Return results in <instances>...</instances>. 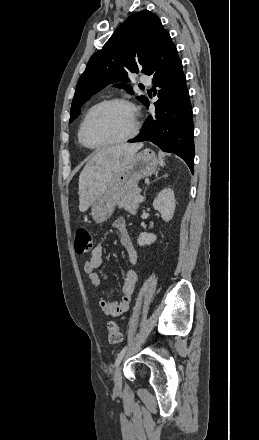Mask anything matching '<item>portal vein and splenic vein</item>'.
Wrapping results in <instances>:
<instances>
[{
	"instance_id": "portal-vein-and-splenic-vein-1",
	"label": "portal vein and splenic vein",
	"mask_w": 259,
	"mask_h": 440,
	"mask_svg": "<svg viewBox=\"0 0 259 440\" xmlns=\"http://www.w3.org/2000/svg\"><path fill=\"white\" fill-rule=\"evenodd\" d=\"M143 199H144L143 196H139V197L137 198V201H138V202H142Z\"/></svg>"
}]
</instances>
